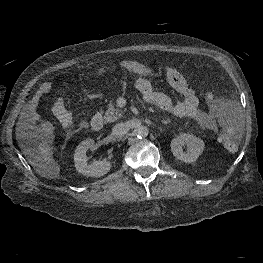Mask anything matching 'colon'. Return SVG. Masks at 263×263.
<instances>
[{
	"label": "colon",
	"mask_w": 263,
	"mask_h": 263,
	"mask_svg": "<svg viewBox=\"0 0 263 263\" xmlns=\"http://www.w3.org/2000/svg\"><path fill=\"white\" fill-rule=\"evenodd\" d=\"M119 65L140 75H158L161 74L157 72L155 68H152L148 65H145L141 62L135 60H122L119 62ZM207 102L211 109L215 112H219V107L214 102L211 96H207ZM54 113L64 128L71 129L74 126L73 118L69 110L65 106H60L57 103L54 105ZM220 139L224 147L230 151L234 152L238 149L240 134L237 129L231 126H226L222 129L220 134Z\"/></svg>",
	"instance_id": "obj_1"
}]
</instances>
